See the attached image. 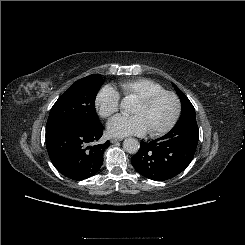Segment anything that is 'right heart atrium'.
<instances>
[{
  "instance_id": "d8ad5b80",
  "label": "right heart atrium",
  "mask_w": 245,
  "mask_h": 245,
  "mask_svg": "<svg viewBox=\"0 0 245 245\" xmlns=\"http://www.w3.org/2000/svg\"><path fill=\"white\" fill-rule=\"evenodd\" d=\"M119 101L117 91L110 86H104L96 94L95 107L101 117L108 118L117 112Z\"/></svg>"
}]
</instances>
